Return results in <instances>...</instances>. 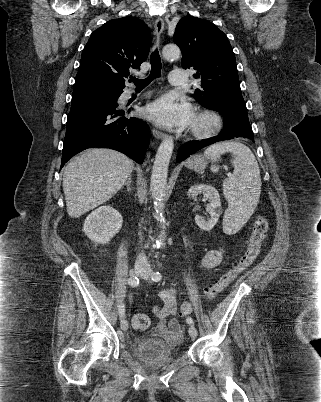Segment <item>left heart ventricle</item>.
I'll use <instances>...</instances> for the list:
<instances>
[{"label":"left heart ventricle","instance_id":"left-heart-ventricle-1","mask_svg":"<svg viewBox=\"0 0 321 402\" xmlns=\"http://www.w3.org/2000/svg\"><path fill=\"white\" fill-rule=\"evenodd\" d=\"M208 124H209V122L206 119L193 116L190 126L205 128L208 126Z\"/></svg>","mask_w":321,"mask_h":402}]
</instances>
